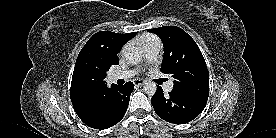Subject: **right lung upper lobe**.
Wrapping results in <instances>:
<instances>
[{"mask_svg":"<svg viewBox=\"0 0 276 138\" xmlns=\"http://www.w3.org/2000/svg\"><path fill=\"white\" fill-rule=\"evenodd\" d=\"M135 34L136 32L118 34L101 31L94 34L80 51L72 76L70 98L81 120L95 118L96 103L107 88L106 81L87 82L83 79V74L89 70L119 64L117 53Z\"/></svg>","mask_w":276,"mask_h":138,"instance_id":"right-lung-upper-lobe-1","label":"right lung upper lobe"}]
</instances>
